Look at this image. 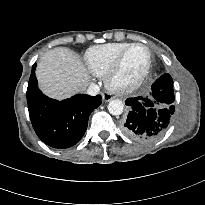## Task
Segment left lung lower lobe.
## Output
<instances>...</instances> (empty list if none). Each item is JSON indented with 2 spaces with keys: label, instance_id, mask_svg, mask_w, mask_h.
<instances>
[{
  "label": "left lung lower lobe",
  "instance_id": "left-lung-lower-lobe-1",
  "mask_svg": "<svg viewBox=\"0 0 205 205\" xmlns=\"http://www.w3.org/2000/svg\"><path fill=\"white\" fill-rule=\"evenodd\" d=\"M168 92L155 87L147 97L128 98V116L122 123L123 132L139 142H152L162 136L169 127L174 105Z\"/></svg>",
  "mask_w": 205,
  "mask_h": 205
}]
</instances>
